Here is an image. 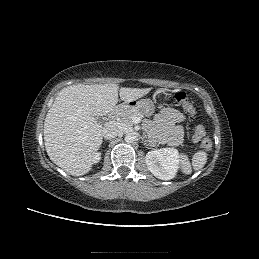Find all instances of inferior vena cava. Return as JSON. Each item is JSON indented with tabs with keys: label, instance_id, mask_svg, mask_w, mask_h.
<instances>
[{
	"label": "inferior vena cava",
	"instance_id": "obj_1",
	"mask_svg": "<svg viewBox=\"0 0 259 259\" xmlns=\"http://www.w3.org/2000/svg\"><path fill=\"white\" fill-rule=\"evenodd\" d=\"M120 132L121 128L116 123H109L102 130L103 137L107 140L115 138Z\"/></svg>",
	"mask_w": 259,
	"mask_h": 259
}]
</instances>
